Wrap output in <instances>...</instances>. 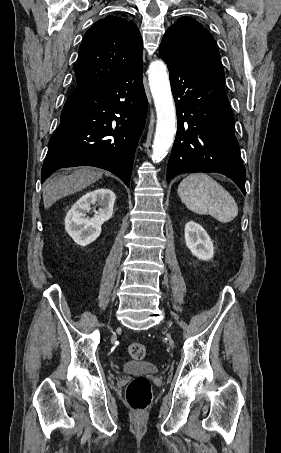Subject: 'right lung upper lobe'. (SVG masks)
<instances>
[{"label": "right lung upper lobe", "mask_w": 281, "mask_h": 453, "mask_svg": "<svg viewBox=\"0 0 281 453\" xmlns=\"http://www.w3.org/2000/svg\"><path fill=\"white\" fill-rule=\"evenodd\" d=\"M143 43L136 24L120 16L98 20L85 33L73 68L75 83L112 82L142 61Z\"/></svg>", "instance_id": "right-lung-upper-lobe-1"}]
</instances>
